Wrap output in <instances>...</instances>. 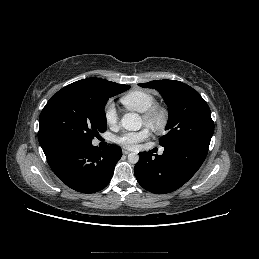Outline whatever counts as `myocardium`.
Returning a JSON list of instances; mask_svg holds the SVG:
<instances>
[{"mask_svg":"<svg viewBox=\"0 0 259 259\" xmlns=\"http://www.w3.org/2000/svg\"><path fill=\"white\" fill-rule=\"evenodd\" d=\"M144 124L156 133L165 130L169 122L168 109L158 103H154L142 113Z\"/></svg>","mask_w":259,"mask_h":259,"instance_id":"f54148a6","label":"myocardium"}]
</instances>
